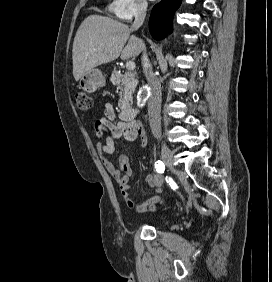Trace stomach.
Wrapping results in <instances>:
<instances>
[{
	"label": "stomach",
	"mask_w": 272,
	"mask_h": 282,
	"mask_svg": "<svg viewBox=\"0 0 272 282\" xmlns=\"http://www.w3.org/2000/svg\"><path fill=\"white\" fill-rule=\"evenodd\" d=\"M105 77L101 70L93 68L80 78V88L86 92H95L98 88L105 85Z\"/></svg>",
	"instance_id": "stomach-1"
}]
</instances>
